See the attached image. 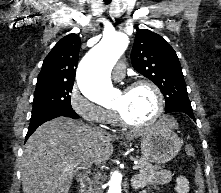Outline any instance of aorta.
Returning <instances> with one entry per match:
<instances>
[{
  "label": "aorta",
  "mask_w": 221,
  "mask_h": 193,
  "mask_svg": "<svg viewBox=\"0 0 221 193\" xmlns=\"http://www.w3.org/2000/svg\"><path fill=\"white\" fill-rule=\"evenodd\" d=\"M128 46V37L112 33L102 39L81 60L77 69V83L85 97L98 104L109 103L116 90L109 72ZM122 175L115 171L108 182L107 193H122Z\"/></svg>",
  "instance_id": "obj_1"
}]
</instances>
